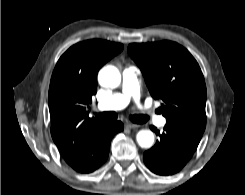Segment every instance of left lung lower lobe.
<instances>
[{"mask_svg":"<svg viewBox=\"0 0 245 195\" xmlns=\"http://www.w3.org/2000/svg\"><path fill=\"white\" fill-rule=\"evenodd\" d=\"M152 130L156 128L151 126ZM160 140L144 153L146 166L158 175H172L180 171L191 159L203 133L166 123Z\"/></svg>","mask_w":245,"mask_h":195,"instance_id":"1","label":"left lung lower lobe"}]
</instances>
